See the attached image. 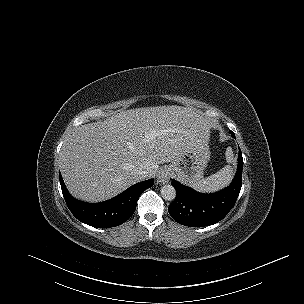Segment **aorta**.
I'll return each mask as SVG.
<instances>
[{"instance_id": "762f6f07", "label": "aorta", "mask_w": 304, "mask_h": 304, "mask_svg": "<svg viewBox=\"0 0 304 304\" xmlns=\"http://www.w3.org/2000/svg\"><path fill=\"white\" fill-rule=\"evenodd\" d=\"M161 196L166 201H173L176 197V190L172 185H164L161 188Z\"/></svg>"}]
</instances>
